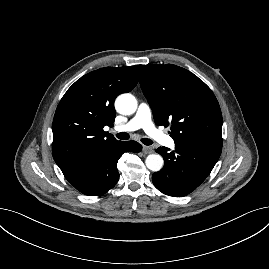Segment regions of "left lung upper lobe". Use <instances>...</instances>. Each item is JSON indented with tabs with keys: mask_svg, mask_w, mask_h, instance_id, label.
<instances>
[{
	"mask_svg": "<svg viewBox=\"0 0 269 269\" xmlns=\"http://www.w3.org/2000/svg\"><path fill=\"white\" fill-rule=\"evenodd\" d=\"M140 85L157 125L167 127L175 144L222 148V114L211 89L176 65H144Z\"/></svg>",
	"mask_w": 269,
	"mask_h": 269,
	"instance_id": "obj_1",
	"label": "left lung upper lobe"
}]
</instances>
